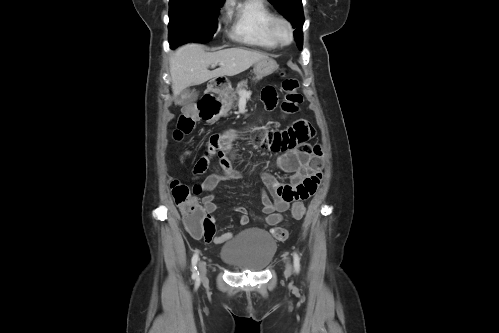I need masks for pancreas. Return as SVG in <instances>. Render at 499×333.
Listing matches in <instances>:
<instances>
[{
    "instance_id": "obj_1",
    "label": "pancreas",
    "mask_w": 499,
    "mask_h": 333,
    "mask_svg": "<svg viewBox=\"0 0 499 333\" xmlns=\"http://www.w3.org/2000/svg\"><path fill=\"white\" fill-rule=\"evenodd\" d=\"M247 87V81H241L238 83L236 90L227 88L221 92L224 113H227L232 108L235 109L237 107V102L240 99L239 93L240 91H245Z\"/></svg>"
}]
</instances>
